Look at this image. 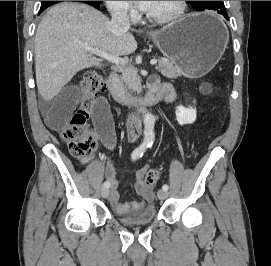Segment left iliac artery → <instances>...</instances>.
<instances>
[{"mask_svg":"<svg viewBox=\"0 0 271 266\" xmlns=\"http://www.w3.org/2000/svg\"><path fill=\"white\" fill-rule=\"evenodd\" d=\"M151 145H152V143H151L149 146H151ZM162 189L165 190V191H167V190L169 189V187H168L167 184H164V185L162 186Z\"/></svg>","mask_w":271,"mask_h":266,"instance_id":"1","label":"left iliac artery"}]
</instances>
